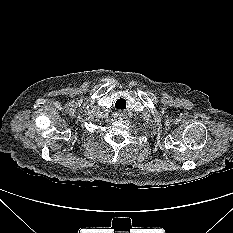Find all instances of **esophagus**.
Here are the masks:
<instances>
[{
	"label": "esophagus",
	"instance_id": "esophagus-1",
	"mask_svg": "<svg viewBox=\"0 0 233 233\" xmlns=\"http://www.w3.org/2000/svg\"><path fill=\"white\" fill-rule=\"evenodd\" d=\"M125 112L124 111H119L117 116L120 118V119H123L125 117Z\"/></svg>",
	"mask_w": 233,
	"mask_h": 233
}]
</instances>
